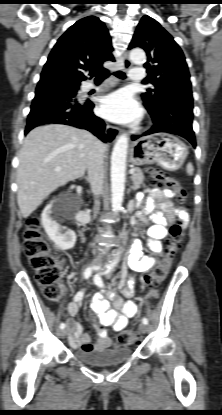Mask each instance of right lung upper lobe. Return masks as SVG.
I'll return each mask as SVG.
<instances>
[{
    "label": "right lung upper lobe",
    "instance_id": "1",
    "mask_svg": "<svg viewBox=\"0 0 222 415\" xmlns=\"http://www.w3.org/2000/svg\"><path fill=\"white\" fill-rule=\"evenodd\" d=\"M111 38L105 24L88 16L72 25L53 47L42 73L56 72L77 82L105 71L103 63L114 61Z\"/></svg>",
    "mask_w": 222,
    "mask_h": 415
}]
</instances>
